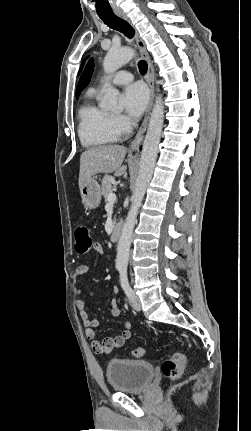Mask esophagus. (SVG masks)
I'll return each instance as SVG.
<instances>
[{
  "label": "esophagus",
  "instance_id": "1",
  "mask_svg": "<svg viewBox=\"0 0 251 431\" xmlns=\"http://www.w3.org/2000/svg\"><path fill=\"white\" fill-rule=\"evenodd\" d=\"M117 16H119L120 18H122L123 20L127 21L128 23L131 24V21L129 19V17L123 12V11H116ZM135 40H136V44L141 52L142 57L146 60L147 65H148V71H147V83L149 85V89H150V101L145 113V117L144 120L137 132V135L135 137V139L133 140V142L130 145L131 150H137L140 142L144 136V133L146 131L148 122H149V118H150V111L152 109V105H153V101H154V68L149 56V53L147 51L146 48V44L145 41L142 39V37L139 35V33L136 31L135 34Z\"/></svg>",
  "mask_w": 251,
  "mask_h": 431
}]
</instances>
